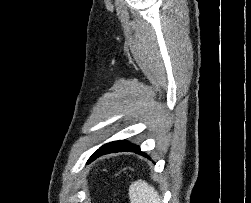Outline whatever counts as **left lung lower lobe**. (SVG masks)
Here are the masks:
<instances>
[{"label":"left lung lower lobe","instance_id":"obj_1","mask_svg":"<svg viewBox=\"0 0 251 203\" xmlns=\"http://www.w3.org/2000/svg\"><path fill=\"white\" fill-rule=\"evenodd\" d=\"M121 151H133L139 154L146 156L145 153L140 151V147L137 145H132L125 140H119L110 142L108 144L103 145L100 147L89 159V162L94 160L95 158L113 152H121Z\"/></svg>","mask_w":251,"mask_h":203}]
</instances>
